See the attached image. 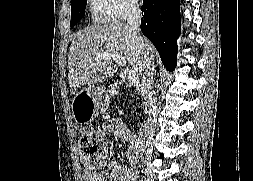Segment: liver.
Returning <instances> with one entry per match:
<instances>
[{
  "mask_svg": "<svg viewBox=\"0 0 253 181\" xmlns=\"http://www.w3.org/2000/svg\"><path fill=\"white\" fill-rule=\"evenodd\" d=\"M148 43L150 61L157 56L152 44ZM117 53L128 62L137 76L144 80L143 54L139 51L136 35L128 24L108 22L91 25L74 35L68 57V79L71 93L83 85H94L114 75L117 65L112 58H99L103 53Z\"/></svg>",
  "mask_w": 253,
  "mask_h": 181,
  "instance_id": "obj_1",
  "label": "liver"
}]
</instances>
